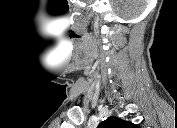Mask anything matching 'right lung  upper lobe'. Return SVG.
Returning a JSON list of instances; mask_svg holds the SVG:
<instances>
[{
    "label": "right lung upper lobe",
    "instance_id": "right-lung-upper-lobe-1",
    "mask_svg": "<svg viewBox=\"0 0 177 128\" xmlns=\"http://www.w3.org/2000/svg\"><path fill=\"white\" fill-rule=\"evenodd\" d=\"M100 128H135V124L129 121L121 120L117 117H108L105 121L99 124Z\"/></svg>",
    "mask_w": 177,
    "mask_h": 128
}]
</instances>
